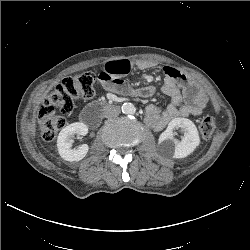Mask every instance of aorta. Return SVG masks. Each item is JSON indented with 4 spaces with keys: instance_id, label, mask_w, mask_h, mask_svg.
I'll use <instances>...</instances> for the list:
<instances>
[{
    "instance_id": "1",
    "label": "aorta",
    "mask_w": 250,
    "mask_h": 250,
    "mask_svg": "<svg viewBox=\"0 0 250 250\" xmlns=\"http://www.w3.org/2000/svg\"><path fill=\"white\" fill-rule=\"evenodd\" d=\"M121 109L126 115H133L136 112V107L132 103H124Z\"/></svg>"
}]
</instances>
